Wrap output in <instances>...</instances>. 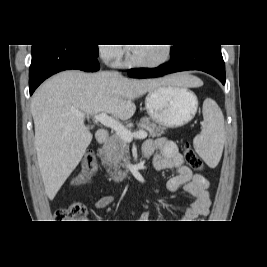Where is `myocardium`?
I'll return each instance as SVG.
<instances>
[{"mask_svg":"<svg viewBox=\"0 0 267 267\" xmlns=\"http://www.w3.org/2000/svg\"><path fill=\"white\" fill-rule=\"evenodd\" d=\"M164 55L156 60V61H150V62H142V61H138L135 59L134 55L132 52H130L127 56V62L135 67H139V68H155V67H159L163 64H165L166 62L169 61L171 54H172V48L169 44H164Z\"/></svg>","mask_w":267,"mask_h":267,"instance_id":"obj_1","label":"myocardium"}]
</instances>
